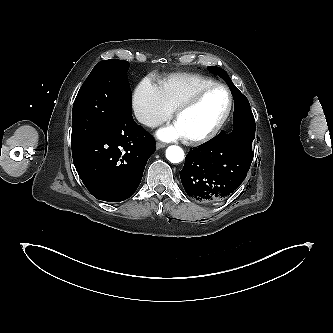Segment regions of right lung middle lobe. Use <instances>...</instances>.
Listing matches in <instances>:
<instances>
[{
	"mask_svg": "<svg viewBox=\"0 0 333 333\" xmlns=\"http://www.w3.org/2000/svg\"><path fill=\"white\" fill-rule=\"evenodd\" d=\"M129 62L100 61L81 86L72 110L71 147L99 134L131 111V88L127 79Z\"/></svg>",
	"mask_w": 333,
	"mask_h": 333,
	"instance_id": "1",
	"label": "right lung middle lobe"
}]
</instances>
